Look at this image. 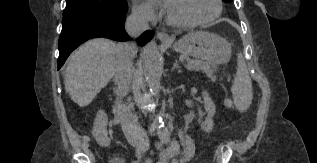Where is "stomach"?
I'll list each match as a JSON object with an SVG mask.
<instances>
[{"mask_svg": "<svg viewBox=\"0 0 317 163\" xmlns=\"http://www.w3.org/2000/svg\"><path fill=\"white\" fill-rule=\"evenodd\" d=\"M172 47L183 55L214 63H226L231 56V45L224 38L204 31L190 32Z\"/></svg>", "mask_w": 317, "mask_h": 163, "instance_id": "1", "label": "stomach"}]
</instances>
